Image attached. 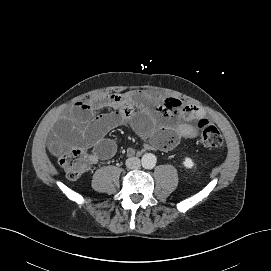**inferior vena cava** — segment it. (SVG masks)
<instances>
[{
	"mask_svg": "<svg viewBox=\"0 0 271 271\" xmlns=\"http://www.w3.org/2000/svg\"><path fill=\"white\" fill-rule=\"evenodd\" d=\"M126 166L129 169H137L140 167V159L138 157H130L126 160Z\"/></svg>",
	"mask_w": 271,
	"mask_h": 271,
	"instance_id": "inferior-vena-cava-1",
	"label": "inferior vena cava"
}]
</instances>
